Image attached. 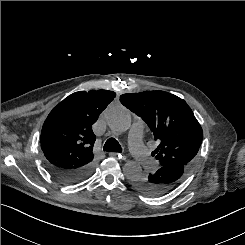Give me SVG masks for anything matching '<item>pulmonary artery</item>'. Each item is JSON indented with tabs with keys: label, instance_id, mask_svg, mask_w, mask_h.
<instances>
[{
	"label": "pulmonary artery",
	"instance_id": "obj_1",
	"mask_svg": "<svg viewBox=\"0 0 245 245\" xmlns=\"http://www.w3.org/2000/svg\"><path fill=\"white\" fill-rule=\"evenodd\" d=\"M144 123L141 120H136L131 126L129 131V142L130 148L134 153L135 157L139 161V163L144 168H151L154 166L155 161L150 156L147 148L142 143V135H143Z\"/></svg>",
	"mask_w": 245,
	"mask_h": 245
}]
</instances>
